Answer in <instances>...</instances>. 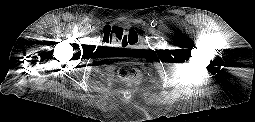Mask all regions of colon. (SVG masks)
<instances>
[{
	"label": "colon",
	"instance_id": "colon-1",
	"mask_svg": "<svg viewBox=\"0 0 255 122\" xmlns=\"http://www.w3.org/2000/svg\"><path fill=\"white\" fill-rule=\"evenodd\" d=\"M105 33L118 39L120 42H130L136 40V33L133 29L124 30L119 27H107ZM118 75L124 86H131L141 79L140 71L130 63H123L118 69Z\"/></svg>",
	"mask_w": 255,
	"mask_h": 122
}]
</instances>
